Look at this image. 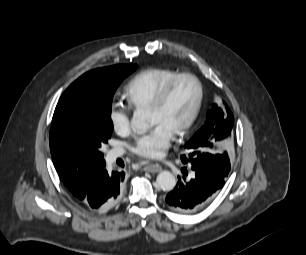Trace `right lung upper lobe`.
Here are the masks:
<instances>
[{
    "label": "right lung upper lobe",
    "mask_w": 306,
    "mask_h": 255,
    "mask_svg": "<svg viewBox=\"0 0 306 255\" xmlns=\"http://www.w3.org/2000/svg\"><path fill=\"white\" fill-rule=\"evenodd\" d=\"M116 65L111 67L99 68L95 70H91L84 75H82L79 79H77L70 86H84L90 87L95 86L97 84L109 81L115 74ZM64 185L70 190L72 185L70 183H64Z\"/></svg>",
    "instance_id": "right-lung-upper-lobe-1"
}]
</instances>
